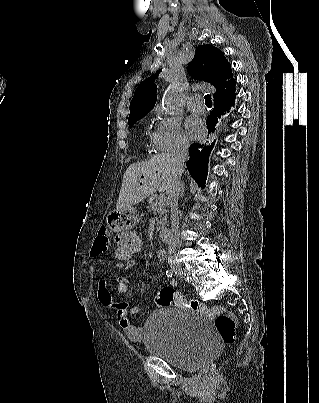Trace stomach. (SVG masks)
<instances>
[{
  "instance_id": "0dacf381",
  "label": "stomach",
  "mask_w": 319,
  "mask_h": 403,
  "mask_svg": "<svg viewBox=\"0 0 319 403\" xmlns=\"http://www.w3.org/2000/svg\"><path fill=\"white\" fill-rule=\"evenodd\" d=\"M107 224L114 237L118 234L133 233L137 227V215L134 209L111 210L107 216Z\"/></svg>"
}]
</instances>
